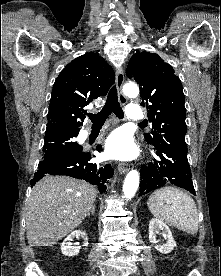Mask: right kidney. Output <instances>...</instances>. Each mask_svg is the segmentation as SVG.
Masks as SVG:
<instances>
[{
    "mask_svg": "<svg viewBox=\"0 0 221 276\" xmlns=\"http://www.w3.org/2000/svg\"><path fill=\"white\" fill-rule=\"evenodd\" d=\"M79 236L83 237L85 239V245H88L87 242V235L84 231L76 230L73 231L71 234L65 238L61 245V252L65 256H75L79 253L80 246H73L72 245V240L73 238H78Z\"/></svg>",
    "mask_w": 221,
    "mask_h": 276,
    "instance_id": "ca27d5eb",
    "label": "right kidney"
}]
</instances>
